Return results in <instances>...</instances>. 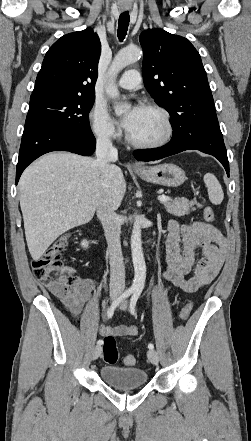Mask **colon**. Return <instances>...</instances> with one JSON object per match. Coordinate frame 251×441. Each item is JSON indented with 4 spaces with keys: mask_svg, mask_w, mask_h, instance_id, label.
<instances>
[{
    "mask_svg": "<svg viewBox=\"0 0 251 441\" xmlns=\"http://www.w3.org/2000/svg\"><path fill=\"white\" fill-rule=\"evenodd\" d=\"M204 218L213 222L215 213L209 206L204 209ZM69 243V235H62L57 238L39 258L33 260V274L42 284H47L57 291H64L74 287L80 281L74 270L65 266L61 260L62 253ZM192 311V303H187L180 312V319L187 320ZM103 359L107 364L113 365L118 361V350L116 340L113 336L104 338ZM124 362L128 366L136 364V358L126 355Z\"/></svg>",
    "mask_w": 251,
    "mask_h": 441,
    "instance_id": "colon-1",
    "label": "colon"
}]
</instances>
